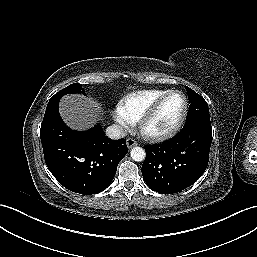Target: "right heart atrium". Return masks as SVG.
Listing matches in <instances>:
<instances>
[{"label": "right heart atrium", "instance_id": "obj_1", "mask_svg": "<svg viewBox=\"0 0 257 257\" xmlns=\"http://www.w3.org/2000/svg\"><path fill=\"white\" fill-rule=\"evenodd\" d=\"M114 119L123 131L128 130L133 124L119 107L114 111Z\"/></svg>", "mask_w": 257, "mask_h": 257}]
</instances>
